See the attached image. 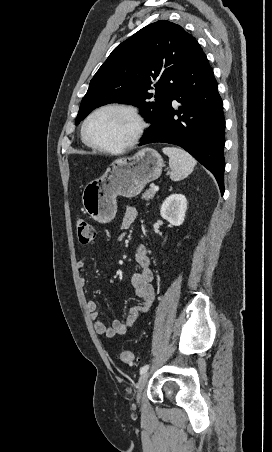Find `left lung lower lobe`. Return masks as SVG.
Here are the masks:
<instances>
[{"instance_id": "left-lung-lower-lobe-1", "label": "left lung lower lobe", "mask_w": 272, "mask_h": 452, "mask_svg": "<svg viewBox=\"0 0 272 452\" xmlns=\"http://www.w3.org/2000/svg\"><path fill=\"white\" fill-rule=\"evenodd\" d=\"M174 99L179 103L177 109L172 107ZM176 115L179 118H174ZM141 140L140 145L164 142L181 146L215 176L224 193L223 102L199 44L175 80L165 111Z\"/></svg>"}]
</instances>
